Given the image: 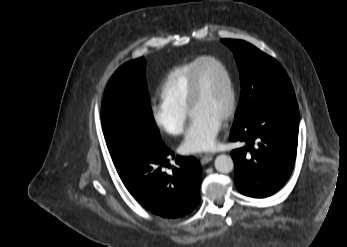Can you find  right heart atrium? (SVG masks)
<instances>
[{"mask_svg":"<svg viewBox=\"0 0 347 247\" xmlns=\"http://www.w3.org/2000/svg\"><path fill=\"white\" fill-rule=\"evenodd\" d=\"M150 111L153 123L163 133L178 136L183 132L187 120L186 110L160 101L152 104Z\"/></svg>","mask_w":347,"mask_h":247,"instance_id":"right-heart-atrium-1","label":"right heart atrium"}]
</instances>
